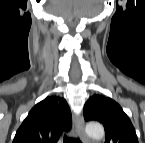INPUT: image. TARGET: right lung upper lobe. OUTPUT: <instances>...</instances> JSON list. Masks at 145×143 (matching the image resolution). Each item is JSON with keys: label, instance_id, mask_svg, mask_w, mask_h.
I'll return each mask as SVG.
<instances>
[{"label": "right lung upper lobe", "instance_id": "cb5924a9", "mask_svg": "<svg viewBox=\"0 0 145 143\" xmlns=\"http://www.w3.org/2000/svg\"><path fill=\"white\" fill-rule=\"evenodd\" d=\"M46 97L36 104L16 132L13 143H56L71 128L72 116L64 99Z\"/></svg>", "mask_w": 145, "mask_h": 143}]
</instances>
